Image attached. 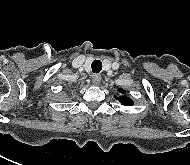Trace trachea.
Wrapping results in <instances>:
<instances>
[{
    "instance_id": "3493384b",
    "label": "trachea",
    "mask_w": 190,
    "mask_h": 165,
    "mask_svg": "<svg viewBox=\"0 0 190 165\" xmlns=\"http://www.w3.org/2000/svg\"><path fill=\"white\" fill-rule=\"evenodd\" d=\"M93 72L99 73L102 70V62L100 60H94L91 64Z\"/></svg>"
}]
</instances>
